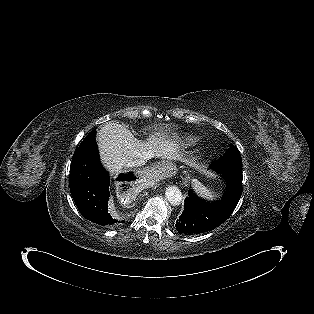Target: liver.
Instances as JSON below:
<instances>
[{
	"instance_id": "liver-1",
	"label": "liver",
	"mask_w": 314,
	"mask_h": 314,
	"mask_svg": "<svg viewBox=\"0 0 314 314\" xmlns=\"http://www.w3.org/2000/svg\"><path fill=\"white\" fill-rule=\"evenodd\" d=\"M100 157L111 173H118L127 163L136 159L161 157L179 159L176 144L164 135H152L147 141H141L123 125L106 123L97 133Z\"/></svg>"
}]
</instances>
